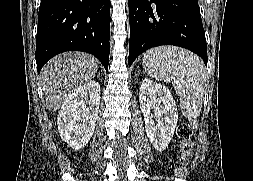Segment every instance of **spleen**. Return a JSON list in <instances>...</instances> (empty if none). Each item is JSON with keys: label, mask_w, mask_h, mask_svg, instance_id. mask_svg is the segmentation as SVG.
<instances>
[{"label": "spleen", "mask_w": 253, "mask_h": 181, "mask_svg": "<svg viewBox=\"0 0 253 181\" xmlns=\"http://www.w3.org/2000/svg\"><path fill=\"white\" fill-rule=\"evenodd\" d=\"M143 67L150 77L172 82L188 120L200 115L206 74L203 61L193 53L174 46H161L144 54Z\"/></svg>", "instance_id": "3e777b00"}]
</instances>
